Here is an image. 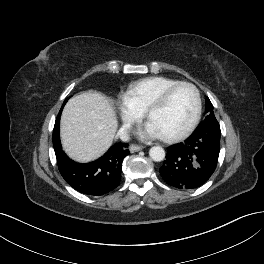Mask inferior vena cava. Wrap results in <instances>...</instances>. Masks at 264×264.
Returning a JSON list of instances; mask_svg holds the SVG:
<instances>
[{
	"label": "inferior vena cava",
	"instance_id": "602c4592",
	"mask_svg": "<svg viewBox=\"0 0 264 264\" xmlns=\"http://www.w3.org/2000/svg\"><path fill=\"white\" fill-rule=\"evenodd\" d=\"M131 125L129 123L124 124L121 129L118 131V137L122 140V141H129L130 140V136H129V129H130Z\"/></svg>",
	"mask_w": 264,
	"mask_h": 264
}]
</instances>
